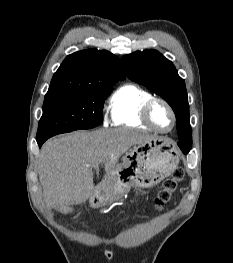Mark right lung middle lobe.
<instances>
[{"instance_id":"1","label":"right lung middle lobe","mask_w":233,"mask_h":263,"mask_svg":"<svg viewBox=\"0 0 233 263\" xmlns=\"http://www.w3.org/2000/svg\"><path fill=\"white\" fill-rule=\"evenodd\" d=\"M109 88L89 92H66L45 96L37 141L79 129L98 126Z\"/></svg>"}]
</instances>
